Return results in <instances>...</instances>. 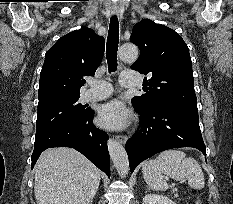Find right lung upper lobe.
<instances>
[{"label":"right lung upper lobe","mask_w":233,"mask_h":204,"mask_svg":"<svg viewBox=\"0 0 233 204\" xmlns=\"http://www.w3.org/2000/svg\"><path fill=\"white\" fill-rule=\"evenodd\" d=\"M104 38L82 27L61 37L45 54L40 73L39 101L80 95L84 76L94 75L104 55Z\"/></svg>","instance_id":"1"}]
</instances>
